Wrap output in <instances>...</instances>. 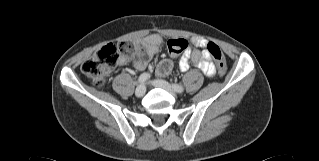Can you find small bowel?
Here are the masks:
<instances>
[{
    "mask_svg": "<svg viewBox=\"0 0 319 161\" xmlns=\"http://www.w3.org/2000/svg\"><path fill=\"white\" fill-rule=\"evenodd\" d=\"M193 43L195 45V49L190 52H185L179 59V69L182 72H186L189 67L190 63L193 64L201 70L207 76H213L216 72L215 65L211 61V55L206 49L207 41L201 38H194ZM162 43V38L158 34H151L143 39L139 40L136 43V50L140 52L143 50L146 59L141 58H127L121 56L118 59L117 64L119 66L132 64L137 70L143 71L147 68L148 62L147 59L153 57L159 49V46ZM159 64L155 65V72L159 76H166L169 72H160L159 71Z\"/></svg>",
    "mask_w": 319,
    "mask_h": 161,
    "instance_id": "1",
    "label": "small bowel"
}]
</instances>
